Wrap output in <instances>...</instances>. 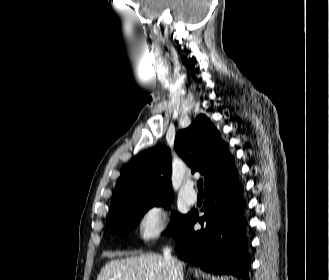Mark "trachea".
<instances>
[{
    "label": "trachea",
    "mask_w": 329,
    "mask_h": 280,
    "mask_svg": "<svg viewBox=\"0 0 329 280\" xmlns=\"http://www.w3.org/2000/svg\"><path fill=\"white\" fill-rule=\"evenodd\" d=\"M197 188H198L199 191L202 192V190H203V180H202V179H200V180L197 182Z\"/></svg>",
    "instance_id": "obj_1"
}]
</instances>
